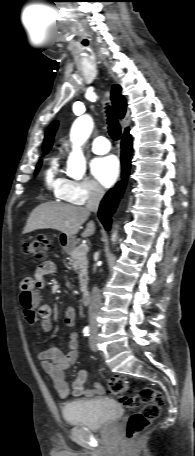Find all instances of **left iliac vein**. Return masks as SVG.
I'll return each mask as SVG.
<instances>
[{"label":"left iliac vein","mask_w":195,"mask_h":456,"mask_svg":"<svg viewBox=\"0 0 195 456\" xmlns=\"http://www.w3.org/2000/svg\"><path fill=\"white\" fill-rule=\"evenodd\" d=\"M96 329H93L89 336V346L93 351L97 350Z\"/></svg>","instance_id":"1"}]
</instances>
